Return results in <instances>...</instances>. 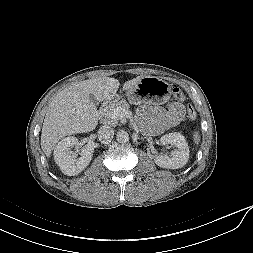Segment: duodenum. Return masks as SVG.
I'll list each match as a JSON object with an SVG mask.
<instances>
[{"instance_id": "duodenum-1", "label": "duodenum", "mask_w": 253, "mask_h": 253, "mask_svg": "<svg viewBox=\"0 0 253 253\" xmlns=\"http://www.w3.org/2000/svg\"><path fill=\"white\" fill-rule=\"evenodd\" d=\"M113 102V99H108L106 100L103 105H102V109H101V112L105 111L110 105L111 103Z\"/></svg>"}]
</instances>
